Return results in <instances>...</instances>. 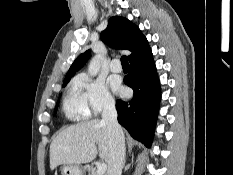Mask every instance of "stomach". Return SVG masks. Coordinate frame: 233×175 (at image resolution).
<instances>
[{
    "label": "stomach",
    "mask_w": 233,
    "mask_h": 175,
    "mask_svg": "<svg viewBox=\"0 0 233 175\" xmlns=\"http://www.w3.org/2000/svg\"><path fill=\"white\" fill-rule=\"evenodd\" d=\"M60 170L62 175H84V168L77 164H64Z\"/></svg>",
    "instance_id": "1"
}]
</instances>
